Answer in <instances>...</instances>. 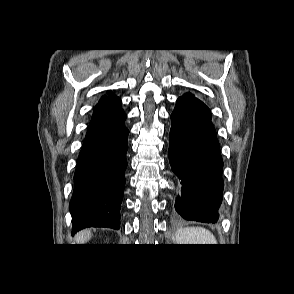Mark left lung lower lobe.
Segmentation results:
<instances>
[{"mask_svg":"<svg viewBox=\"0 0 294 294\" xmlns=\"http://www.w3.org/2000/svg\"><path fill=\"white\" fill-rule=\"evenodd\" d=\"M171 120L169 160L179 178L175 210L186 220L215 223L223 161L210 110L186 93L178 98Z\"/></svg>","mask_w":294,"mask_h":294,"instance_id":"obj_1","label":"left lung lower lobe"}]
</instances>
